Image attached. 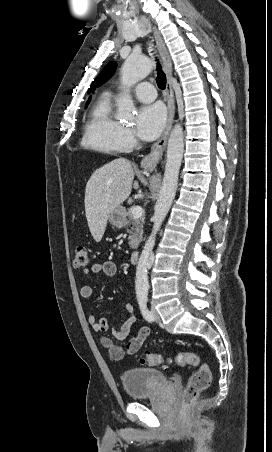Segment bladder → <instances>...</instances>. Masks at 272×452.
<instances>
[{
  "label": "bladder",
  "mask_w": 272,
  "mask_h": 452,
  "mask_svg": "<svg viewBox=\"0 0 272 452\" xmlns=\"http://www.w3.org/2000/svg\"><path fill=\"white\" fill-rule=\"evenodd\" d=\"M120 381L130 398L140 399L160 389L166 379L160 370L133 367L120 372Z\"/></svg>",
  "instance_id": "obj_1"
}]
</instances>
